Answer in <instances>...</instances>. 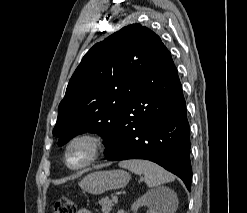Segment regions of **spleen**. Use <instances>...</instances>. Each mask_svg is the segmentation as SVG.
Instances as JSON below:
<instances>
[{
  "mask_svg": "<svg viewBox=\"0 0 247 213\" xmlns=\"http://www.w3.org/2000/svg\"><path fill=\"white\" fill-rule=\"evenodd\" d=\"M119 166L131 172L144 175V181L150 188H155L161 184L174 181L175 177L161 166L147 160H126L121 161ZM165 194L171 196V203L166 209V213H174L177 206L176 197L169 189H162Z\"/></svg>",
  "mask_w": 247,
  "mask_h": 213,
  "instance_id": "obj_1",
  "label": "spleen"
}]
</instances>
